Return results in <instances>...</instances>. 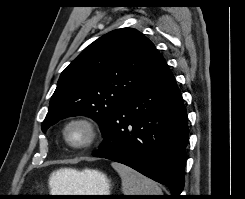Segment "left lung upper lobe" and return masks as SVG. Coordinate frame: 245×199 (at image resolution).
Wrapping results in <instances>:
<instances>
[{
	"instance_id": "5c2ea615",
	"label": "left lung upper lobe",
	"mask_w": 245,
	"mask_h": 199,
	"mask_svg": "<svg viewBox=\"0 0 245 199\" xmlns=\"http://www.w3.org/2000/svg\"><path fill=\"white\" fill-rule=\"evenodd\" d=\"M162 60L153 43L135 29L100 37L62 72L42 131L63 118L83 115L103 132L113 111L143 86Z\"/></svg>"
}]
</instances>
